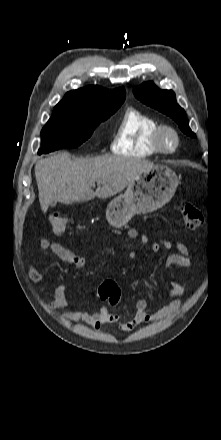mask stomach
Listing matches in <instances>:
<instances>
[{
    "label": "stomach",
    "mask_w": 221,
    "mask_h": 440,
    "mask_svg": "<svg viewBox=\"0 0 221 440\" xmlns=\"http://www.w3.org/2000/svg\"><path fill=\"white\" fill-rule=\"evenodd\" d=\"M178 178L173 170L163 165H154L128 184L124 194L115 197L108 204L106 218L120 228L137 213L153 212L173 197Z\"/></svg>",
    "instance_id": "obj_1"
}]
</instances>
